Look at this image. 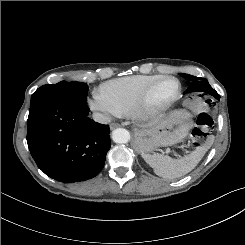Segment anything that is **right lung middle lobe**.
I'll return each instance as SVG.
<instances>
[{"label":"right lung middle lobe","instance_id":"obj_1","mask_svg":"<svg viewBox=\"0 0 245 245\" xmlns=\"http://www.w3.org/2000/svg\"><path fill=\"white\" fill-rule=\"evenodd\" d=\"M88 92L87 83L61 81L46 84L38 88L31 96V104L46 98L59 97L71 101H85Z\"/></svg>","mask_w":245,"mask_h":245}]
</instances>
